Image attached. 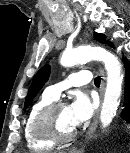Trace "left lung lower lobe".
Segmentation results:
<instances>
[{
  "label": "left lung lower lobe",
  "instance_id": "1",
  "mask_svg": "<svg viewBox=\"0 0 130 153\" xmlns=\"http://www.w3.org/2000/svg\"><path fill=\"white\" fill-rule=\"evenodd\" d=\"M126 69L125 80V109L122 113V118L130 121V63L124 59Z\"/></svg>",
  "mask_w": 130,
  "mask_h": 153
}]
</instances>
